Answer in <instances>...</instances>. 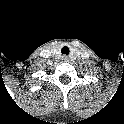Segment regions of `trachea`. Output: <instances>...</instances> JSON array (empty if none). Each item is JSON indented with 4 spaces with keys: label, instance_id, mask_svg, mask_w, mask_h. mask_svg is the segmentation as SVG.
<instances>
[{
    "label": "trachea",
    "instance_id": "trachea-1",
    "mask_svg": "<svg viewBox=\"0 0 124 124\" xmlns=\"http://www.w3.org/2000/svg\"><path fill=\"white\" fill-rule=\"evenodd\" d=\"M69 48L67 46H64L62 49H61V53L62 55H69Z\"/></svg>",
    "mask_w": 124,
    "mask_h": 124
}]
</instances>
